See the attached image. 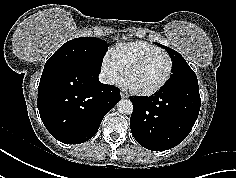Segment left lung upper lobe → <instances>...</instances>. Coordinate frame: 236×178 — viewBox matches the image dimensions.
I'll use <instances>...</instances> for the list:
<instances>
[{
  "label": "left lung upper lobe",
  "instance_id": "left-lung-upper-lobe-1",
  "mask_svg": "<svg viewBox=\"0 0 236 178\" xmlns=\"http://www.w3.org/2000/svg\"><path fill=\"white\" fill-rule=\"evenodd\" d=\"M160 47L166 49L173 61V70L170 82H198L197 76L190 66L186 63L185 59L175 50L170 49L162 44L157 43Z\"/></svg>",
  "mask_w": 236,
  "mask_h": 178
}]
</instances>
